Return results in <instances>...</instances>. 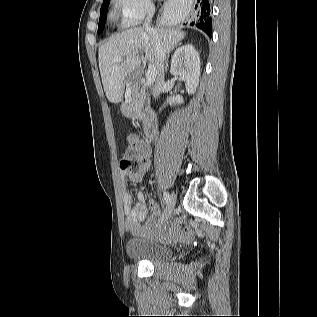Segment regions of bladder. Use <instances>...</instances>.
<instances>
[{
    "label": "bladder",
    "mask_w": 317,
    "mask_h": 317,
    "mask_svg": "<svg viewBox=\"0 0 317 317\" xmlns=\"http://www.w3.org/2000/svg\"><path fill=\"white\" fill-rule=\"evenodd\" d=\"M127 256L132 260L165 262L173 258L172 249L140 235L130 239L126 245Z\"/></svg>",
    "instance_id": "obj_1"
}]
</instances>
